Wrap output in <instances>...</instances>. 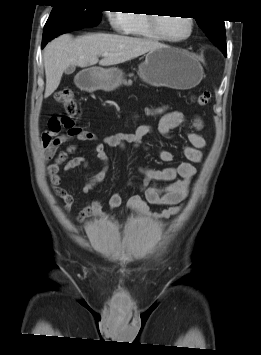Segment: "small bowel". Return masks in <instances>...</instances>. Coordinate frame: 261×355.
I'll return each mask as SVG.
<instances>
[{
    "label": "small bowel",
    "mask_w": 261,
    "mask_h": 355,
    "mask_svg": "<svg viewBox=\"0 0 261 355\" xmlns=\"http://www.w3.org/2000/svg\"><path fill=\"white\" fill-rule=\"evenodd\" d=\"M62 126L68 128L65 133H59V130L54 131L48 127L49 130L41 135V146L45 160L52 161L47 168L49 184L54 195L63 201L62 208L64 212L71 210L74 197L67 189L61 186L62 182L72 170L78 167L88 168L90 164L84 157H70L77 151V145L69 144L65 149L61 150L60 148L63 145L72 141L94 142L93 153L100 161L101 168L81 188V194L86 197L97 185L104 181L107 172L110 170L111 162L105 149L106 146L117 148L124 152L129 150V146L134 151L140 149L148 150L144 137L152 132L150 126L141 125L134 133H115L98 141L94 133L81 127L65 122H61ZM202 127L203 121L200 117L196 116L190 126L187 124L183 113L179 111H170L161 118L158 130L163 135L168 136L176 129L183 130L187 143L181 147V152L187 162L165 168L138 166L137 170L142 176V183L138 187V192L131 193L128 197L126 205L130 211L152 219H169L181 212L189 194L190 183L196 173L193 163H198L203 158L201 149L206 142L199 134ZM156 152L159 159L164 162L174 160V155L165 149L158 148ZM154 181L168 182V185L164 187L152 186L151 183ZM121 204L122 195L119 193H114L109 197L108 211L103 210L99 200H88L78 213L76 222L83 223L93 216L105 219ZM150 205L167 207L160 211H154L150 208Z\"/></svg>",
    "instance_id": "1"
}]
</instances>
